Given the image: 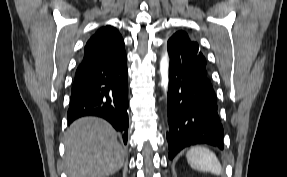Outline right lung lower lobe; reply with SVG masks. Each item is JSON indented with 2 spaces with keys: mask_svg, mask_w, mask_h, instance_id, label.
<instances>
[{
  "mask_svg": "<svg viewBox=\"0 0 287 177\" xmlns=\"http://www.w3.org/2000/svg\"><path fill=\"white\" fill-rule=\"evenodd\" d=\"M128 72L124 41L116 29L97 30L77 67L67 113L68 124L83 116L106 119L128 137Z\"/></svg>",
  "mask_w": 287,
  "mask_h": 177,
  "instance_id": "1",
  "label": "right lung lower lobe"
}]
</instances>
